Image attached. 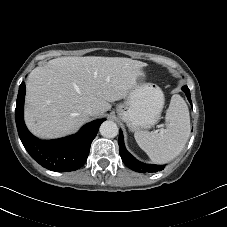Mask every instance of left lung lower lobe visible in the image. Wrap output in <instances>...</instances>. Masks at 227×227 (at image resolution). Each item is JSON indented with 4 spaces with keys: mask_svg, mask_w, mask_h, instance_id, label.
Returning <instances> with one entry per match:
<instances>
[{
    "mask_svg": "<svg viewBox=\"0 0 227 227\" xmlns=\"http://www.w3.org/2000/svg\"><path fill=\"white\" fill-rule=\"evenodd\" d=\"M183 92L186 94L189 102L191 103L190 90L187 86L182 87ZM119 152L124 164L129 167L131 170L136 172L145 173V172H157L164 169V165H151L144 164L136 160L125 148L122 131L119 132Z\"/></svg>",
    "mask_w": 227,
    "mask_h": 227,
    "instance_id": "left-lung-lower-lobe-1",
    "label": "left lung lower lobe"
}]
</instances>
